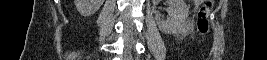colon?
<instances>
[{
	"instance_id": "5ec220e1",
	"label": "colon",
	"mask_w": 267,
	"mask_h": 60,
	"mask_svg": "<svg viewBox=\"0 0 267 60\" xmlns=\"http://www.w3.org/2000/svg\"><path fill=\"white\" fill-rule=\"evenodd\" d=\"M201 6L197 11V31L201 35H205L209 32L210 23H209V14L212 10V1H200Z\"/></svg>"
}]
</instances>
